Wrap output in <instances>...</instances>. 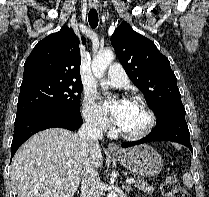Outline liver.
I'll use <instances>...</instances> for the list:
<instances>
[{"label":"liver","instance_id":"liver-1","mask_svg":"<svg viewBox=\"0 0 209 197\" xmlns=\"http://www.w3.org/2000/svg\"><path fill=\"white\" fill-rule=\"evenodd\" d=\"M102 162L99 144L88 146L69 130L50 128L18 149L11 177L18 197H73L85 170Z\"/></svg>","mask_w":209,"mask_h":197}]
</instances>
